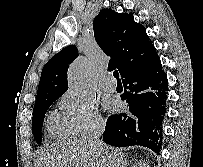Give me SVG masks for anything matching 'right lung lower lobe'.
Wrapping results in <instances>:
<instances>
[{
	"label": "right lung lower lobe",
	"instance_id": "1",
	"mask_svg": "<svg viewBox=\"0 0 203 167\" xmlns=\"http://www.w3.org/2000/svg\"><path fill=\"white\" fill-rule=\"evenodd\" d=\"M122 79L125 91L121 99L126 100L129 111L108 118L103 141L117 147L141 145L159 153L168 91L159 57Z\"/></svg>",
	"mask_w": 203,
	"mask_h": 167
}]
</instances>
